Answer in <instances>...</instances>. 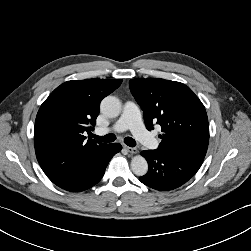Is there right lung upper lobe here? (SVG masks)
<instances>
[{"label": "right lung upper lobe", "mask_w": 251, "mask_h": 251, "mask_svg": "<svg viewBox=\"0 0 251 251\" xmlns=\"http://www.w3.org/2000/svg\"><path fill=\"white\" fill-rule=\"evenodd\" d=\"M121 79L67 81L41 105L35 120L34 142L40 166L76 163L107 144L85 141L101 100L117 89Z\"/></svg>", "instance_id": "right-lung-upper-lobe-1"}]
</instances>
